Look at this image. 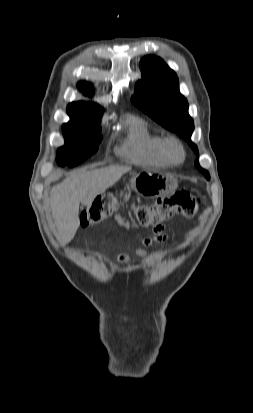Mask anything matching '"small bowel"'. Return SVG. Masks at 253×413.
Returning <instances> with one entry per match:
<instances>
[{"instance_id":"c3829d8e","label":"small bowel","mask_w":253,"mask_h":413,"mask_svg":"<svg viewBox=\"0 0 253 413\" xmlns=\"http://www.w3.org/2000/svg\"><path fill=\"white\" fill-rule=\"evenodd\" d=\"M115 219H116L119 223H122V218H121L119 215H117V216L115 217ZM155 232H156L155 238H156L157 240H159V241H164V240L166 239V236H165L164 233H163V227L156 228V229H155ZM150 244H151V240H150V239H146V240H145V246H148V245H150ZM137 253L140 254V255H144V254H145V251H144V250H138ZM122 259H123V257H122Z\"/></svg>"}]
</instances>
